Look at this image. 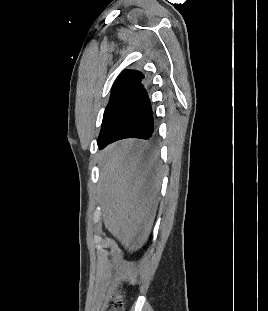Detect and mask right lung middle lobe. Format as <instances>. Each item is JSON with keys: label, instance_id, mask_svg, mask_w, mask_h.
Returning a JSON list of instances; mask_svg holds the SVG:
<instances>
[{"label": "right lung middle lobe", "instance_id": "dd1d6c3e", "mask_svg": "<svg viewBox=\"0 0 268 311\" xmlns=\"http://www.w3.org/2000/svg\"><path fill=\"white\" fill-rule=\"evenodd\" d=\"M134 90L135 87L127 86L111 92L110 100L103 115L102 126L97 141L103 139L106 132L114 124L125 105L129 101Z\"/></svg>", "mask_w": 268, "mask_h": 311}]
</instances>
